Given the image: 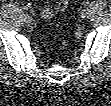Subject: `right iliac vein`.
I'll return each mask as SVG.
<instances>
[{"label":"right iliac vein","mask_w":111,"mask_h":106,"mask_svg":"<svg viewBox=\"0 0 111 106\" xmlns=\"http://www.w3.org/2000/svg\"><path fill=\"white\" fill-rule=\"evenodd\" d=\"M25 22H26V24H31V22H32V19L31 18H27V19H25Z\"/></svg>","instance_id":"1"}]
</instances>
